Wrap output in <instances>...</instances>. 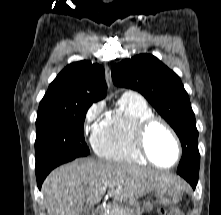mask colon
Masks as SVG:
<instances>
[{
    "instance_id": "1",
    "label": "colon",
    "mask_w": 221,
    "mask_h": 215,
    "mask_svg": "<svg viewBox=\"0 0 221 215\" xmlns=\"http://www.w3.org/2000/svg\"><path fill=\"white\" fill-rule=\"evenodd\" d=\"M161 215H183V213L178 207H170L163 209Z\"/></svg>"
}]
</instances>
